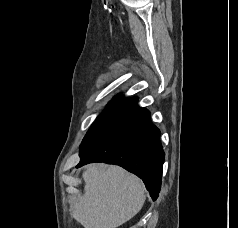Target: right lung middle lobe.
<instances>
[{"label":"right lung middle lobe","mask_w":238,"mask_h":228,"mask_svg":"<svg viewBox=\"0 0 238 228\" xmlns=\"http://www.w3.org/2000/svg\"><path fill=\"white\" fill-rule=\"evenodd\" d=\"M117 116H98L96 122H94L90 129L88 130L86 136L84 137L81 146L89 142L93 137H95L100 131H102L105 127H107L111 122L118 119Z\"/></svg>","instance_id":"1"}]
</instances>
